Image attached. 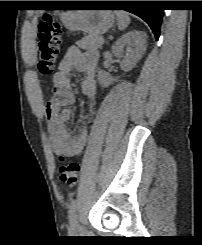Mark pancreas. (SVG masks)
I'll return each instance as SVG.
<instances>
[{
    "mask_svg": "<svg viewBox=\"0 0 202 245\" xmlns=\"http://www.w3.org/2000/svg\"><path fill=\"white\" fill-rule=\"evenodd\" d=\"M101 39L102 37L100 36L88 35L84 37L83 39L79 40L76 44L81 49H84V50L98 49V48H101L104 43Z\"/></svg>",
    "mask_w": 202,
    "mask_h": 245,
    "instance_id": "cf45deb5",
    "label": "pancreas"
}]
</instances>
